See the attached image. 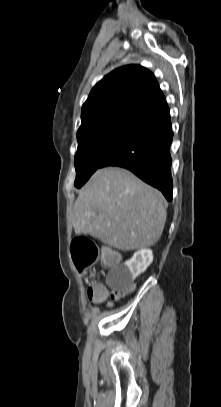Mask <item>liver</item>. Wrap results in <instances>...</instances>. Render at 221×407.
<instances>
[{
    "mask_svg": "<svg viewBox=\"0 0 221 407\" xmlns=\"http://www.w3.org/2000/svg\"><path fill=\"white\" fill-rule=\"evenodd\" d=\"M164 196L126 169L97 170L74 204L76 225L120 250L154 245L166 222Z\"/></svg>",
    "mask_w": 221,
    "mask_h": 407,
    "instance_id": "6515ba94",
    "label": "liver"
}]
</instances>
